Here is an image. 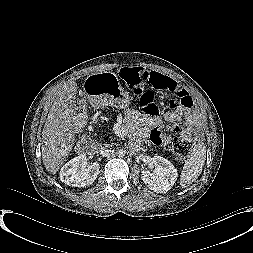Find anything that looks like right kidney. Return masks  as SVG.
I'll return each mask as SVG.
<instances>
[{
    "mask_svg": "<svg viewBox=\"0 0 253 253\" xmlns=\"http://www.w3.org/2000/svg\"><path fill=\"white\" fill-rule=\"evenodd\" d=\"M99 163L88 165L85 155L77 156L67 162L60 171V180L73 187L91 185L99 173Z\"/></svg>",
    "mask_w": 253,
    "mask_h": 253,
    "instance_id": "obj_1",
    "label": "right kidney"
}]
</instances>
